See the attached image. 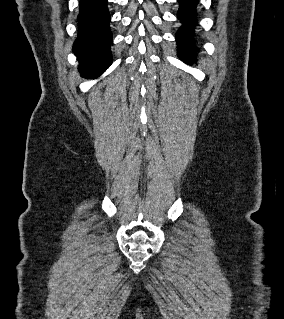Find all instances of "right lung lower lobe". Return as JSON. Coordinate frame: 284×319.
<instances>
[{"mask_svg": "<svg viewBox=\"0 0 284 319\" xmlns=\"http://www.w3.org/2000/svg\"><path fill=\"white\" fill-rule=\"evenodd\" d=\"M78 21L73 51L80 61L79 69L87 77H98L112 63L107 0H80Z\"/></svg>", "mask_w": 284, "mask_h": 319, "instance_id": "obj_1", "label": "right lung lower lobe"}]
</instances>
